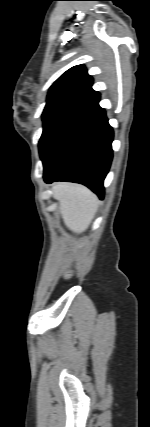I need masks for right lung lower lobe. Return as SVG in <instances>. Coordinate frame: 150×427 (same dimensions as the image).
<instances>
[{
	"label": "right lung lower lobe",
	"instance_id": "1",
	"mask_svg": "<svg viewBox=\"0 0 150 427\" xmlns=\"http://www.w3.org/2000/svg\"><path fill=\"white\" fill-rule=\"evenodd\" d=\"M99 100L80 111L56 140L44 161V180L89 187L101 199L112 160L113 130Z\"/></svg>",
	"mask_w": 150,
	"mask_h": 427
}]
</instances>
